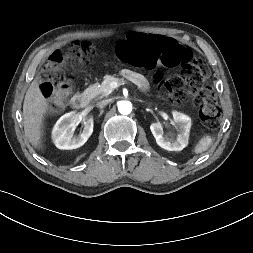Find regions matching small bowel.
<instances>
[{
	"label": "small bowel",
	"instance_id": "c3829d8e",
	"mask_svg": "<svg viewBox=\"0 0 253 253\" xmlns=\"http://www.w3.org/2000/svg\"><path fill=\"white\" fill-rule=\"evenodd\" d=\"M162 37V36H161ZM151 68V67H150ZM122 74L129 78V79H134L137 81V83L141 86V87H145L146 86V82L144 80V78L140 77L137 73L133 72L132 70L129 69H124L122 71Z\"/></svg>",
	"mask_w": 253,
	"mask_h": 253
}]
</instances>
